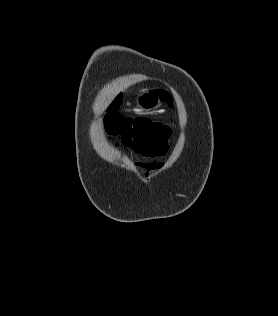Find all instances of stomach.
<instances>
[{"label": "stomach", "instance_id": "1", "mask_svg": "<svg viewBox=\"0 0 278 316\" xmlns=\"http://www.w3.org/2000/svg\"><path fill=\"white\" fill-rule=\"evenodd\" d=\"M136 104L139 111L154 110L161 104L160 95L156 92H144L137 97Z\"/></svg>", "mask_w": 278, "mask_h": 316}]
</instances>
